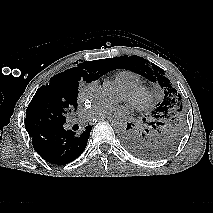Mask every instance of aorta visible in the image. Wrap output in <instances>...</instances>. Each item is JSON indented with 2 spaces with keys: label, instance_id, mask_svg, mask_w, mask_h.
Listing matches in <instances>:
<instances>
[{
  "label": "aorta",
  "instance_id": "obj_1",
  "mask_svg": "<svg viewBox=\"0 0 213 213\" xmlns=\"http://www.w3.org/2000/svg\"><path fill=\"white\" fill-rule=\"evenodd\" d=\"M96 96L97 99L104 104H113L119 100L118 90L110 84L102 85L98 89ZM112 126L116 131H125L127 128V121L121 118L114 119Z\"/></svg>",
  "mask_w": 213,
  "mask_h": 213
}]
</instances>
